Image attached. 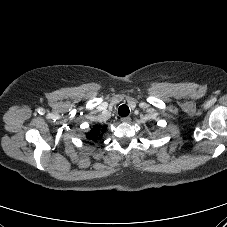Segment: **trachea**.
<instances>
[{
  "instance_id": "obj_1",
  "label": "trachea",
  "mask_w": 227,
  "mask_h": 227,
  "mask_svg": "<svg viewBox=\"0 0 227 227\" xmlns=\"http://www.w3.org/2000/svg\"><path fill=\"white\" fill-rule=\"evenodd\" d=\"M129 107L125 104L121 105L118 109V114L121 116V117H126L129 115Z\"/></svg>"
}]
</instances>
